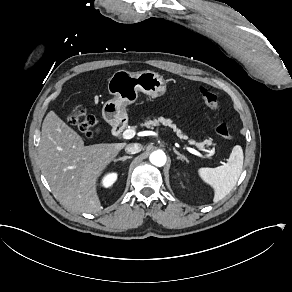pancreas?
Masks as SVG:
<instances>
[{
    "mask_svg": "<svg viewBox=\"0 0 292 292\" xmlns=\"http://www.w3.org/2000/svg\"><path fill=\"white\" fill-rule=\"evenodd\" d=\"M159 123H162L164 126H169V127L173 128V130L176 132V134L179 138L188 139L187 136L182 134L180 129L176 128V126L174 124H172L171 119H165L163 117H160V118L154 119V120H147V121H145V123H142L141 126H145L147 128H152L153 126H158ZM189 144H194L198 148H203L206 144L211 145L212 142H211V140H205L201 143H196L194 140H189Z\"/></svg>",
    "mask_w": 292,
    "mask_h": 292,
    "instance_id": "obj_1",
    "label": "pancreas"
}]
</instances>
